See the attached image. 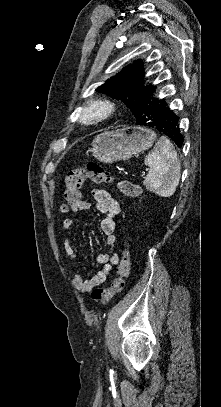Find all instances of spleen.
I'll return each instance as SVG.
<instances>
[{
    "label": "spleen",
    "instance_id": "3e777b00",
    "mask_svg": "<svg viewBox=\"0 0 221 407\" xmlns=\"http://www.w3.org/2000/svg\"><path fill=\"white\" fill-rule=\"evenodd\" d=\"M150 167L143 181L147 190L161 197L174 194L181 176V163L170 140L162 136L144 160Z\"/></svg>",
    "mask_w": 221,
    "mask_h": 407
}]
</instances>
